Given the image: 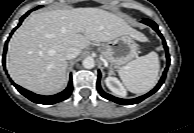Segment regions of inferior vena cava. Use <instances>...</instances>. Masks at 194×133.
Listing matches in <instances>:
<instances>
[{
  "label": "inferior vena cava",
  "instance_id": "1",
  "mask_svg": "<svg viewBox=\"0 0 194 133\" xmlns=\"http://www.w3.org/2000/svg\"><path fill=\"white\" fill-rule=\"evenodd\" d=\"M80 53V50L76 47H69L65 51V58L67 60L76 58Z\"/></svg>",
  "mask_w": 194,
  "mask_h": 133
}]
</instances>
